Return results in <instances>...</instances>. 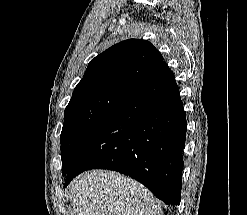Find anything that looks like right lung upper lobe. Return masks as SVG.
Returning <instances> with one entry per match:
<instances>
[{
	"label": "right lung upper lobe",
	"instance_id": "1",
	"mask_svg": "<svg viewBox=\"0 0 247 215\" xmlns=\"http://www.w3.org/2000/svg\"><path fill=\"white\" fill-rule=\"evenodd\" d=\"M163 62L162 55L150 42L122 41L91 60L74 92L104 88L132 90Z\"/></svg>",
	"mask_w": 247,
	"mask_h": 215
}]
</instances>
